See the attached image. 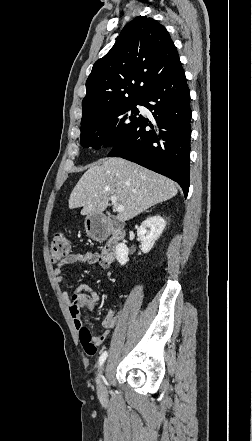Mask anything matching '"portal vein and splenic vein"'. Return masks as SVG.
<instances>
[{
  "instance_id": "18ae733b",
  "label": "portal vein and splenic vein",
  "mask_w": 252,
  "mask_h": 441,
  "mask_svg": "<svg viewBox=\"0 0 252 441\" xmlns=\"http://www.w3.org/2000/svg\"><path fill=\"white\" fill-rule=\"evenodd\" d=\"M110 200H111V202H112V204H113V206H114V208H115L116 211L120 212V211H123V210H124V206H122V205H120V204L117 203V198H116V196H111V197H110Z\"/></svg>"
}]
</instances>
